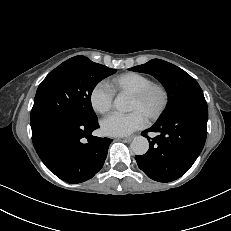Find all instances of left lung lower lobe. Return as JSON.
I'll list each match as a JSON object with an SVG mask.
<instances>
[{
  "instance_id": "obj_1",
  "label": "left lung lower lobe",
  "mask_w": 231,
  "mask_h": 231,
  "mask_svg": "<svg viewBox=\"0 0 231 231\" xmlns=\"http://www.w3.org/2000/svg\"><path fill=\"white\" fill-rule=\"evenodd\" d=\"M206 101L187 104L158 120L148 131L159 133L149 140V150L135 156L139 168L151 179L171 182L185 174L201 153L207 135Z\"/></svg>"
}]
</instances>
